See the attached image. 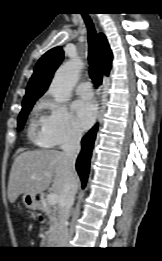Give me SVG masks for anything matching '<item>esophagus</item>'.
I'll return each instance as SVG.
<instances>
[{
	"instance_id": "1",
	"label": "esophagus",
	"mask_w": 162,
	"mask_h": 261,
	"mask_svg": "<svg viewBox=\"0 0 162 261\" xmlns=\"http://www.w3.org/2000/svg\"><path fill=\"white\" fill-rule=\"evenodd\" d=\"M102 112H103V103H102V101H101V106H100V109H99V112H98V116H97V120H98V121H99L100 118H101Z\"/></svg>"
}]
</instances>
